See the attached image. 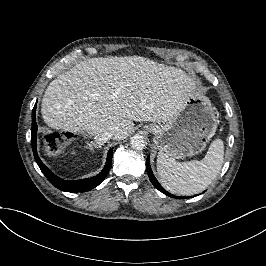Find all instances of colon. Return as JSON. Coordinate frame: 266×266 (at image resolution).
<instances>
[{
  "instance_id": "colon-1",
  "label": "colon",
  "mask_w": 266,
  "mask_h": 266,
  "mask_svg": "<svg viewBox=\"0 0 266 266\" xmlns=\"http://www.w3.org/2000/svg\"><path fill=\"white\" fill-rule=\"evenodd\" d=\"M64 138L58 131L47 133L43 136V146L49 153H58L64 148Z\"/></svg>"
}]
</instances>
